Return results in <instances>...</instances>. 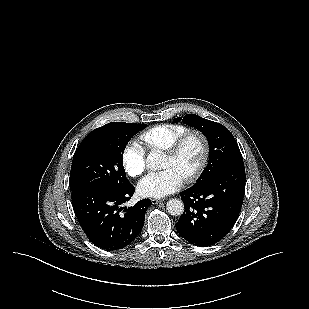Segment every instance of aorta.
<instances>
[{
  "label": "aorta",
  "mask_w": 309,
  "mask_h": 309,
  "mask_svg": "<svg viewBox=\"0 0 309 309\" xmlns=\"http://www.w3.org/2000/svg\"><path fill=\"white\" fill-rule=\"evenodd\" d=\"M161 158L159 152H151L146 159V164L150 169L156 170L160 166ZM166 209L169 214L180 216L184 212V203L180 199L173 198L167 202Z\"/></svg>",
  "instance_id": "obj_1"
}]
</instances>
